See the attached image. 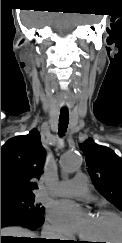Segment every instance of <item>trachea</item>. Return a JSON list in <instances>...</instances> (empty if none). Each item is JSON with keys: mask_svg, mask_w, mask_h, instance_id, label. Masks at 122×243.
<instances>
[{"mask_svg": "<svg viewBox=\"0 0 122 243\" xmlns=\"http://www.w3.org/2000/svg\"><path fill=\"white\" fill-rule=\"evenodd\" d=\"M69 123V112L67 109H61L60 110V116H59V135L63 136L66 132V129L68 127Z\"/></svg>", "mask_w": 122, "mask_h": 243, "instance_id": "trachea-1", "label": "trachea"}]
</instances>
